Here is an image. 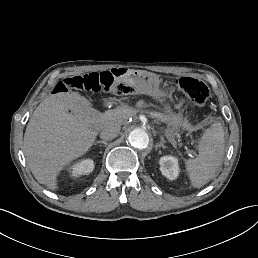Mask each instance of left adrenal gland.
<instances>
[{"label": "left adrenal gland", "mask_w": 258, "mask_h": 258, "mask_svg": "<svg viewBox=\"0 0 258 258\" xmlns=\"http://www.w3.org/2000/svg\"><path fill=\"white\" fill-rule=\"evenodd\" d=\"M165 141L162 139L160 143H157L155 145V149L157 150L158 147H162V148H166V146L164 145Z\"/></svg>", "instance_id": "left-adrenal-gland-1"}]
</instances>
